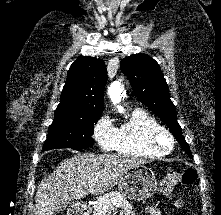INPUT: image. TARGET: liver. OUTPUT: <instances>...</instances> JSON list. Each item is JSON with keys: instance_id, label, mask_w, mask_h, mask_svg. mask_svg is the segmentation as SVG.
I'll use <instances>...</instances> for the list:
<instances>
[{"instance_id": "1", "label": "liver", "mask_w": 221, "mask_h": 215, "mask_svg": "<svg viewBox=\"0 0 221 215\" xmlns=\"http://www.w3.org/2000/svg\"><path fill=\"white\" fill-rule=\"evenodd\" d=\"M143 163L138 158L109 154L86 153L67 158L39 184L35 215H54L59 201L108 192L128 170Z\"/></svg>"}]
</instances>
